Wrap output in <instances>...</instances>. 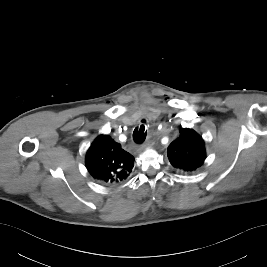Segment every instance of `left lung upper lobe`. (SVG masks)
<instances>
[{"label": "left lung upper lobe", "instance_id": "1", "mask_svg": "<svg viewBox=\"0 0 267 267\" xmlns=\"http://www.w3.org/2000/svg\"><path fill=\"white\" fill-rule=\"evenodd\" d=\"M167 155L172 166L180 173H193L203 164L206 154L203 139L192 129L181 128Z\"/></svg>", "mask_w": 267, "mask_h": 267}]
</instances>
